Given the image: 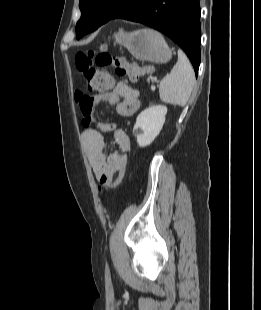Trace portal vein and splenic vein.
<instances>
[{
  "mask_svg": "<svg viewBox=\"0 0 261 310\" xmlns=\"http://www.w3.org/2000/svg\"><path fill=\"white\" fill-rule=\"evenodd\" d=\"M151 89H152V90H155V87H154V86H152V87H151Z\"/></svg>",
  "mask_w": 261,
  "mask_h": 310,
  "instance_id": "portal-vein-and-splenic-vein-1",
  "label": "portal vein and splenic vein"
}]
</instances>
